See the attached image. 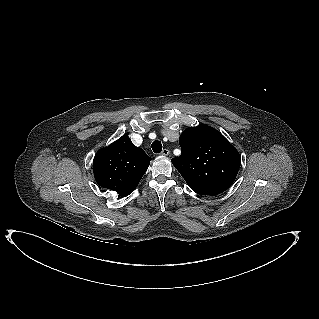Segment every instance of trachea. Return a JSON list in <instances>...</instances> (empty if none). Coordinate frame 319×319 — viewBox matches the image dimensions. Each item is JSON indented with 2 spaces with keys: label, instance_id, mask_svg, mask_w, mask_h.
Wrapping results in <instances>:
<instances>
[{
  "label": "trachea",
  "instance_id": "trachea-1",
  "mask_svg": "<svg viewBox=\"0 0 319 319\" xmlns=\"http://www.w3.org/2000/svg\"><path fill=\"white\" fill-rule=\"evenodd\" d=\"M151 147H152V150H153L154 153H160L162 151V144L158 140H155L152 143Z\"/></svg>",
  "mask_w": 319,
  "mask_h": 319
}]
</instances>
